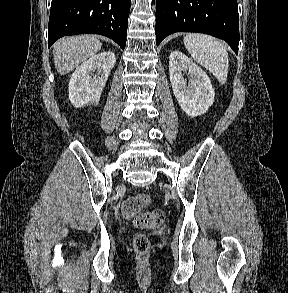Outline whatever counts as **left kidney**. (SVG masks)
<instances>
[{"label": "left kidney", "mask_w": 288, "mask_h": 293, "mask_svg": "<svg viewBox=\"0 0 288 293\" xmlns=\"http://www.w3.org/2000/svg\"><path fill=\"white\" fill-rule=\"evenodd\" d=\"M185 73L188 80L184 78ZM169 74L173 93L181 109L191 117L206 113L215 97L207 74L178 50L170 54Z\"/></svg>", "instance_id": "obj_1"}]
</instances>
